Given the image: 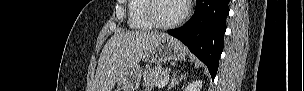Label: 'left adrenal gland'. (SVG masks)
Here are the masks:
<instances>
[{"label": "left adrenal gland", "mask_w": 304, "mask_h": 91, "mask_svg": "<svg viewBox=\"0 0 304 91\" xmlns=\"http://www.w3.org/2000/svg\"><path fill=\"white\" fill-rule=\"evenodd\" d=\"M177 72H175L171 78V81L168 85V90H170L171 88H173L176 84H178L179 81H181L182 79L186 78V74L185 75H181L180 78L176 77Z\"/></svg>", "instance_id": "obj_1"}]
</instances>
